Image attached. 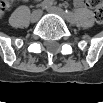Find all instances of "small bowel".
Listing matches in <instances>:
<instances>
[{"mask_svg": "<svg viewBox=\"0 0 103 103\" xmlns=\"http://www.w3.org/2000/svg\"><path fill=\"white\" fill-rule=\"evenodd\" d=\"M74 5L78 8H81V7H86L87 6V3L83 0H76L74 2ZM10 8V6L7 8V10Z\"/></svg>", "mask_w": 103, "mask_h": 103, "instance_id": "c3829d8e", "label": "small bowel"}]
</instances>
